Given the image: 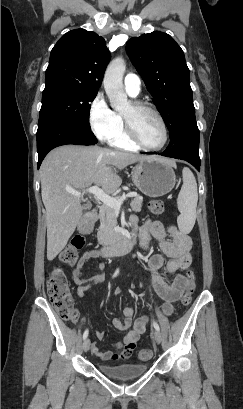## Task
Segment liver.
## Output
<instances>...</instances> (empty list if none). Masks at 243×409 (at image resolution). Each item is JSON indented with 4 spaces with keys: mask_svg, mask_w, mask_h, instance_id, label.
<instances>
[{
    "mask_svg": "<svg viewBox=\"0 0 243 409\" xmlns=\"http://www.w3.org/2000/svg\"><path fill=\"white\" fill-rule=\"evenodd\" d=\"M150 156L114 151L99 146L64 145L52 150L40 167L41 196L46 209L47 259L64 249L83 215V192L92 184L111 194L122 183L117 170Z\"/></svg>",
    "mask_w": 243,
    "mask_h": 409,
    "instance_id": "1",
    "label": "liver"
}]
</instances>
